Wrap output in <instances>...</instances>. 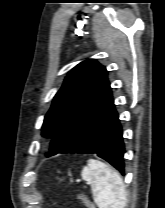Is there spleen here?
<instances>
[{
	"label": "spleen",
	"instance_id": "spleen-1",
	"mask_svg": "<svg viewBox=\"0 0 165 208\" xmlns=\"http://www.w3.org/2000/svg\"><path fill=\"white\" fill-rule=\"evenodd\" d=\"M81 176L91 184L93 199L99 208L125 207L126 190L117 171L99 160L89 159Z\"/></svg>",
	"mask_w": 165,
	"mask_h": 208
}]
</instances>
